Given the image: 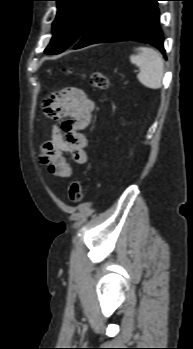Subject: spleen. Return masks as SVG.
Returning <instances> with one entry per match:
<instances>
[{"mask_svg": "<svg viewBox=\"0 0 193 349\" xmlns=\"http://www.w3.org/2000/svg\"><path fill=\"white\" fill-rule=\"evenodd\" d=\"M136 55L130 56V61L139 67L138 80L145 87L159 89L162 87L164 75V60L162 56L152 48L140 47Z\"/></svg>", "mask_w": 193, "mask_h": 349, "instance_id": "obj_1", "label": "spleen"}]
</instances>
